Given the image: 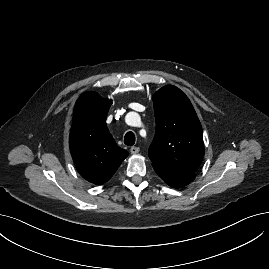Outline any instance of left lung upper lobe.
I'll use <instances>...</instances> for the list:
<instances>
[{
    "mask_svg": "<svg viewBox=\"0 0 269 269\" xmlns=\"http://www.w3.org/2000/svg\"><path fill=\"white\" fill-rule=\"evenodd\" d=\"M156 132L148 155L158 168L195 173L204 157L201 123L188 97L168 85L153 97Z\"/></svg>",
    "mask_w": 269,
    "mask_h": 269,
    "instance_id": "5c2ea615",
    "label": "left lung upper lobe"
}]
</instances>
